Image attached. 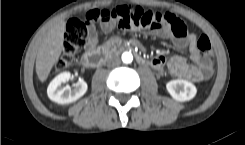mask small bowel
Here are the masks:
<instances>
[{
    "mask_svg": "<svg viewBox=\"0 0 245 145\" xmlns=\"http://www.w3.org/2000/svg\"><path fill=\"white\" fill-rule=\"evenodd\" d=\"M172 20L178 19L176 17H172ZM114 27V20L104 21L101 23V29L105 33H110L114 29ZM90 33L94 35L93 30H91ZM151 34L160 38H170L173 35L169 23H166L160 29L151 32ZM194 39L195 37L193 35H188L175 40V45L178 48H184L187 45H189L190 59L193 62V64L187 65L181 58L174 57L168 63V67L172 76H187L195 80H200L201 78H203L204 74L209 69L210 62L206 57L201 55L198 49H196V47L194 46ZM135 44L138 45L137 42H135ZM153 65L156 68L164 67L166 65V61L163 57H157L154 59Z\"/></svg>",
    "mask_w": 245,
    "mask_h": 145,
    "instance_id": "c3829d8e",
    "label": "small bowel"
}]
</instances>
